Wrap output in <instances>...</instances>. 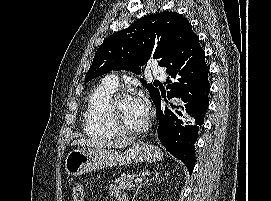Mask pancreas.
<instances>
[{"instance_id": "pancreas-1", "label": "pancreas", "mask_w": 271, "mask_h": 201, "mask_svg": "<svg viewBox=\"0 0 271 201\" xmlns=\"http://www.w3.org/2000/svg\"><path fill=\"white\" fill-rule=\"evenodd\" d=\"M114 183L118 185L122 190H133L135 184L133 183V177L122 174L119 178L114 180Z\"/></svg>"}]
</instances>
